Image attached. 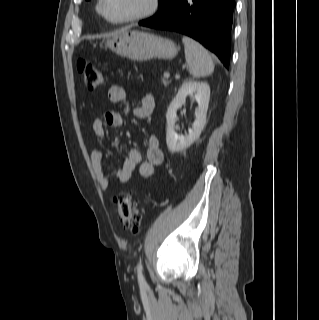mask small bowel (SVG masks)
<instances>
[{"mask_svg":"<svg viewBox=\"0 0 319 320\" xmlns=\"http://www.w3.org/2000/svg\"><path fill=\"white\" fill-rule=\"evenodd\" d=\"M108 97L111 103L121 106L126 98L123 87L112 85L108 90ZM154 98L152 94L145 95L140 105L133 108V114L138 118H148L154 109ZM105 125L112 128H119L123 125V117L116 110H109L105 113L104 120L95 119L92 123L94 135L99 139L107 137ZM105 152L102 150H94L90 154V162L99 186L106 190L110 186L111 179H116L120 183L129 181L132 173L138 168L139 175L143 178H149L153 175L155 167L159 166L163 160V155L159 147L158 140L155 136L149 137L148 147L145 157L137 149L129 151L124 159L120 169L107 172L103 168Z\"/></svg>","mask_w":319,"mask_h":320,"instance_id":"c3829d8e","label":"small bowel"}]
</instances>
